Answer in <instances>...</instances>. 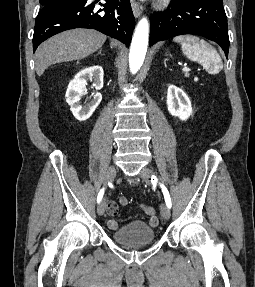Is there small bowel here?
I'll return each instance as SVG.
<instances>
[{"label": "small bowel", "mask_w": 255, "mask_h": 287, "mask_svg": "<svg viewBox=\"0 0 255 287\" xmlns=\"http://www.w3.org/2000/svg\"><path fill=\"white\" fill-rule=\"evenodd\" d=\"M128 204V199L126 197H121L118 201V203L116 202H110L107 206V212L108 215L111 217H114L117 212H118V205L121 206H126ZM149 224L151 226H157L158 224V218L155 216H150L149 217ZM107 226L109 229L114 230L118 227V223L116 220H114L113 218L108 219L107 221Z\"/></svg>", "instance_id": "c3829d8e"}]
</instances>
